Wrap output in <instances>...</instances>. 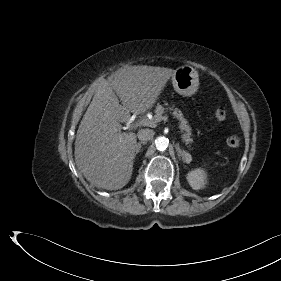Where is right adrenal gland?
Here are the masks:
<instances>
[{
	"label": "right adrenal gland",
	"instance_id": "2a0ac1e0",
	"mask_svg": "<svg viewBox=\"0 0 281 281\" xmlns=\"http://www.w3.org/2000/svg\"><path fill=\"white\" fill-rule=\"evenodd\" d=\"M146 144V142H139V143H137L136 144V146H135V156L139 153V152H141L142 151V145H145Z\"/></svg>",
	"mask_w": 281,
	"mask_h": 281
}]
</instances>
